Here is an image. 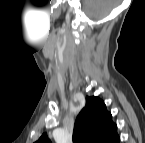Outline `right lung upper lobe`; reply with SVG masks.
<instances>
[{
  "instance_id": "obj_1",
  "label": "right lung upper lobe",
  "mask_w": 145,
  "mask_h": 143,
  "mask_svg": "<svg viewBox=\"0 0 145 143\" xmlns=\"http://www.w3.org/2000/svg\"><path fill=\"white\" fill-rule=\"evenodd\" d=\"M75 143H118L117 126L104 102L96 96L86 97V106L81 110L74 125ZM37 143H51L44 133Z\"/></svg>"
}]
</instances>
